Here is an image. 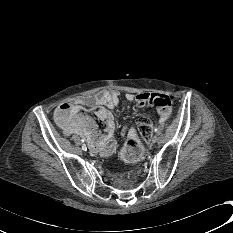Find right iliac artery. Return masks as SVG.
I'll return each instance as SVG.
<instances>
[{
  "label": "right iliac artery",
  "instance_id": "1",
  "mask_svg": "<svg viewBox=\"0 0 233 233\" xmlns=\"http://www.w3.org/2000/svg\"><path fill=\"white\" fill-rule=\"evenodd\" d=\"M84 140L82 139V142H83ZM82 149L84 150V151H86L87 150V147H86V145L85 144H83L82 145Z\"/></svg>",
  "mask_w": 233,
  "mask_h": 233
}]
</instances>
